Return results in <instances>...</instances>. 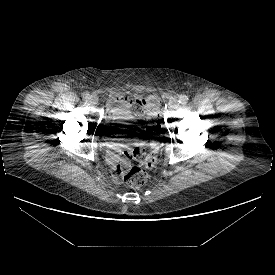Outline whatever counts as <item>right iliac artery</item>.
Returning a JSON list of instances; mask_svg holds the SVG:
<instances>
[{"mask_svg": "<svg viewBox=\"0 0 275 275\" xmlns=\"http://www.w3.org/2000/svg\"><path fill=\"white\" fill-rule=\"evenodd\" d=\"M82 97H83V99H89V93L88 92H84L82 94Z\"/></svg>", "mask_w": 275, "mask_h": 275, "instance_id": "right-iliac-artery-1", "label": "right iliac artery"}]
</instances>
